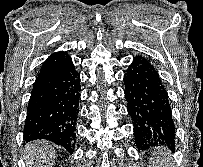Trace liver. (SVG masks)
Returning <instances> with one entry per match:
<instances>
[{
	"label": "liver",
	"mask_w": 203,
	"mask_h": 167,
	"mask_svg": "<svg viewBox=\"0 0 203 167\" xmlns=\"http://www.w3.org/2000/svg\"><path fill=\"white\" fill-rule=\"evenodd\" d=\"M55 159L53 144L37 140L26 146L27 167H51Z\"/></svg>",
	"instance_id": "6515ba94"
}]
</instances>
